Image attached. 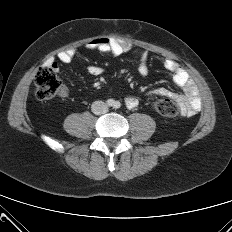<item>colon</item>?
<instances>
[{
  "label": "colon",
  "instance_id": "5ec220e1",
  "mask_svg": "<svg viewBox=\"0 0 232 232\" xmlns=\"http://www.w3.org/2000/svg\"><path fill=\"white\" fill-rule=\"evenodd\" d=\"M36 96L40 100L53 98L61 91V83L52 65H46L36 73ZM155 111L164 117L173 118L179 114V104L170 98H159L154 102Z\"/></svg>",
  "mask_w": 232,
  "mask_h": 232
}]
</instances>
